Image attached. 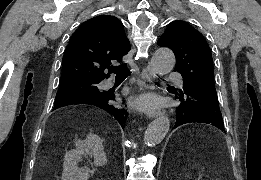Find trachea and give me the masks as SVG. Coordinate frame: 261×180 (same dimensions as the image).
<instances>
[{
	"mask_svg": "<svg viewBox=\"0 0 261 180\" xmlns=\"http://www.w3.org/2000/svg\"><path fill=\"white\" fill-rule=\"evenodd\" d=\"M109 70L116 73V79H125L131 75L126 63H122L118 67H109Z\"/></svg>",
	"mask_w": 261,
	"mask_h": 180,
	"instance_id": "obj_1",
	"label": "trachea"
}]
</instances>
